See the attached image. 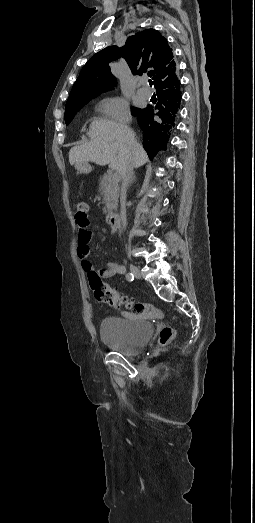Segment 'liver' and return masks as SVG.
<instances>
[{
  "instance_id": "liver-1",
  "label": "liver",
  "mask_w": 255,
  "mask_h": 523,
  "mask_svg": "<svg viewBox=\"0 0 255 523\" xmlns=\"http://www.w3.org/2000/svg\"><path fill=\"white\" fill-rule=\"evenodd\" d=\"M90 138L83 146H74L69 152L71 166L75 164L78 172H91L87 162H95L99 166H106L121 174L125 170L128 158H131L133 168H140L148 162V156L142 146L138 144L132 128L117 124L113 120L95 118L87 132Z\"/></svg>"
}]
</instances>
